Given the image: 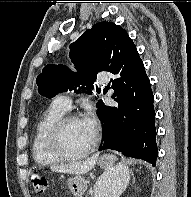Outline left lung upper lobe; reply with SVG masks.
Here are the masks:
<instances>
[{"label": "left lung upper lobe", "instance_id": "obj_1", "mask_svg": "<svg viewBox=\"0 0 191 197\" xmlns=\"http://www.w3.org/2000/svg\"><path fill=\"white\" fill-rule=\"evenodd\" d=\"M70 58L77 73L63 65H47L37 77L39 93L52 98L79 84L91 91L98 72L135 71L143 65L136 46L126 31L111 22H99L70 45ZM103 103H97L98 112Z\"/></svg>", "mask_w": 191, "mask_h": 197}]
</instances>
